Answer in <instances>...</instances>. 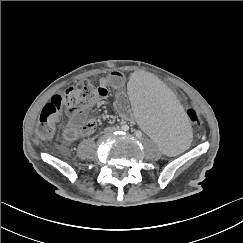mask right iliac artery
<instances>
[{"instance_id": "right-iliac-artery-1", "label": "right iliac artery", "mask_w": 243, "mask_h": 243, "mask_svg": "<svg viewBox=\"0 0 243 243\" xmlns=\"http://www.w3.org/2000/svg\"><path fill=\"white\" fill-rule=\"evenodd\" d=\"M121 129L123 131H128L129 130V126L124 124V125L121 126Z\"/></svg>"}]
</instances>
